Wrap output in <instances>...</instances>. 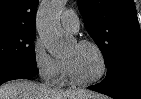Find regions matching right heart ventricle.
<instances>
[{
    "mask_svg": "<svg viewBox=\"0 0 141 99\" xmlns=\"http://www.w3.org/2000/svg\"><path fill=\"white\" fill-rule=\"evenodd\" d=\"M59 61H60V64H61V72H60L58 79L56 80V83L59 84V85H65L69 82V77H68V74H67L65 62L62 61V60H59Z\"/></svg>",
    "mask_w": 141,
    "mask_h": 99,
    "instance_id": "obj_1",
    "label": "right heart ventricle"
}]
</instances>
